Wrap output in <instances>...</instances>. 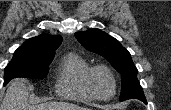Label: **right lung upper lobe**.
I'll return each instance as SVG.
<instances>
[{
	"label": "right lung upper lobe",
	"mask_w": 171,
	"mask_h": 110,
	"mask_svg": "<svg viewBox=\"0 0 171 110\" xmlns=\"http://www.w3.org/2000/svg\"><path fill=\"white\" fill-rule=\"evenodd\" d=\"M61 42L59 35H39L28 39L15 52L27 56H54Z\"/></svg>",
	"instance_id": "obj_1"
}]
</instances>
